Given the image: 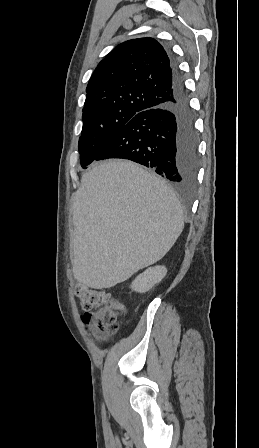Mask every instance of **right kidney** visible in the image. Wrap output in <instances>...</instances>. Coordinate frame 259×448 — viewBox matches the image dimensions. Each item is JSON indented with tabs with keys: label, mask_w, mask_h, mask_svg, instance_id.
<instances>
[{
	"label": "right kidney",
	"mask_w": 259,
	"mask_h": 448,
	"mask_svg": "<svg viewBox=\"0 0 259 448\" xmlns=\"http://www.w3.org/2000/svg\"><path fill=\"white\" fill-rule=\"evenodd\" d=\"M167 270L164 266H155V268H148L143 274L137 276L136 280L132 282L131 288L134 292H139V294H144L151 290L154 284L161 282L162 278L166 276Z\"/></svg>",
	"instance_id": "ca27d5eb"
}]
</instances>
